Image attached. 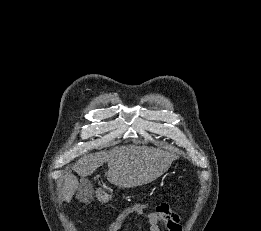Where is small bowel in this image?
<instances>
[{
  "mask_svg": "<svg viewBox=\"0 0 261 231\" xmlns=\"http://www.w3.org/2000/svg\"><path fill=\"white\" fill-rule=\"evenodd\" d=\"M100 200L101 197L98 196V198L92 199L91 203H96ZM134 217L145 218L149 231H162L160 224H163L167 231H181V217L174 213L167 204L156 205L153 210L147 204H137L119 215L107 228V231H119Z\"/></svg>",
  "mask_w": 261,
  "mask_h": 231,
  "instance_id": "obj_1",
  "label": "small bowel"
}]
</instances>
